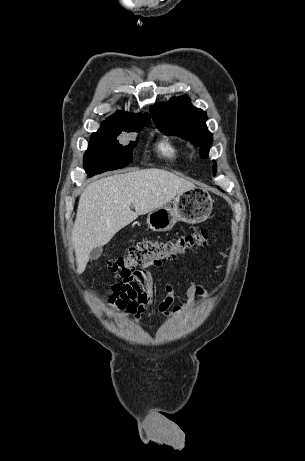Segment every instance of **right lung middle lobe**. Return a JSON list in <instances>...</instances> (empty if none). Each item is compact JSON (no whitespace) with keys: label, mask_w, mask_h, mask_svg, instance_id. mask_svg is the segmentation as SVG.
<instances>
[{"label":"right lung middle lobe","mask_w":305,"mask_h":461,"mask_svg":"<svg viewBox=\"0 0 305 461\" xmlns=\"http://www.w3.org/2000/svg\"><path fill=\"white\" fill-rule=\"evenodd\" d=\"M147 121L129 126L103 123L101 128L92 134L89 148L84 154V169L91 177L108 170L122 168L132 162L133 149L137 142L120 144L117 136L125 132H139Z\"/></svg>","instance_id":"dd1d6c3e"}]
</instances>
